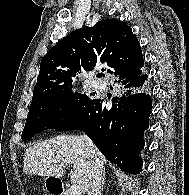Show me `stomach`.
I'll list each match as a JSON object with an SVG mask.
<instances>
[{"label":"stomach","mask_w":189,"mask_h":195,"mask_svg":"<svg viewBox=\"0 0 189 195\" xmlns=\"http://www.w3.org/2000/svg\"><path fill=\"white\" fill-rule=\"evenodd\" d=\"M50 178H51V177H47L46 180H45V187H46V189H48V190L52 188V187L50 186V183H49V182H50Z\"/></svg>","instance_id":"obj_1"}]
</instances>
